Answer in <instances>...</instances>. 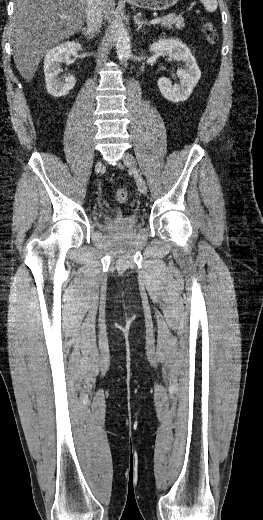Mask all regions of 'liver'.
<instances>
[{
    "label": "liver",
    "instance_id": "6515ba94",
    "mask_svg": "<svg viewBox=\"0 0 263 520\" xmlns=\"http://www.w3.org/2000/svg\"><path fill=\"white\" fill-rule=\"evenodd\" d=\"M114 6V0H103L106 19L110 18ZM86 10V0L14 1L10 24L13 58L26 81L32 80L40 61L53 46L81 29Z\"/></svg>",
    "mask_w": 263,
    "mask_h": 520
}]
</instances>
